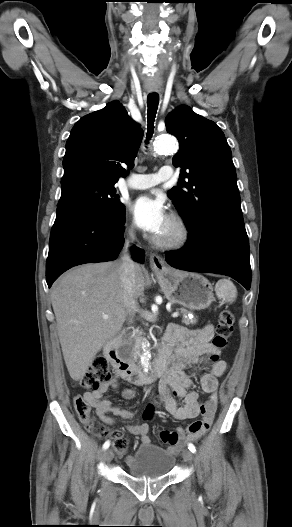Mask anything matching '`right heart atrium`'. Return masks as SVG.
I'll return each mask as SVG.
<instances>
[{
	"label": "right heart atrium",
	"mask_w": 292,
	"mask_h": 527,
	"mask_svg": "<svg viewBox=\"0 0 292 527\" xmlns=\"http://www.w3.org/2000/svg\"><path fill=\"white\" fill-rule=\"evenodd\" d=\"M129 234L130 235L134 234V226L133 225H131L130 228H129Z\"/></svg>",
	"instance_id": "right-heart-atrium-1"
}]
</instances>
